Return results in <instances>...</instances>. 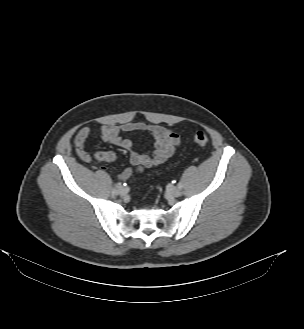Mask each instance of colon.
Wrapping results in <instances>:
<instances>
[{
    "instance_id": "1",
    "label": "colon",
    "mask_w": 304,
    "mask_h": 329,
    "mask_svg": "<svg viewBox=\"0 0 304 329\" xmlns=\"http://www.w3.org/2000/svg\"><path fill=\"white\" fill-rule=\"evenodd\" d=\"M194 143L198 146H205L208 143V136L203 131H198L194 135Z\"/></svg>"
}]
</instances>
